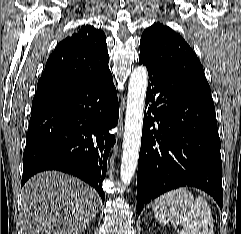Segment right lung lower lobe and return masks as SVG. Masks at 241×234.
Instances as JSON below:
<instances>
[{"label": "right lung lower lobe", "instance_id": "98d812e1", "mask_svg": "<svg viewBox=\"0 0 241 234\" xmlns=\"http://www.w3.org/2000/svg\"><path fill=\"white\" fill-rule=\"evenodd\" d=\"M118 117L111 73L84 87L34 98L21 186L38 172L59 170L84 180L104 199L102 181L115 143L109 130Z\"/></svg>", "mask_w": 241, "mask_h": 234}]
</instances>
